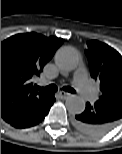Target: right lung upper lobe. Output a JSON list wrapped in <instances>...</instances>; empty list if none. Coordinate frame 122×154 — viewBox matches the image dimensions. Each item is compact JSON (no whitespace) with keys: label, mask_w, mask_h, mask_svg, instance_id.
Returning <instances> with one entry per match:
<instances>
[{"label":"right lung upper lobe","mask_w":122,"mask_h":154,"mask_svg":"<svg viewBox=\"0 0 122 154\" xmlns=\"http://www.w3.org/2000/svg\"><path fill=\"white\" fill-rule=\"evenodd\" d=\"M63 41L23 33L1 43V117L6 122L38 106L51 94L38 91L31 79L40 75Z\"/></svg>","instance_id":"obj_1"}]
</instances>
